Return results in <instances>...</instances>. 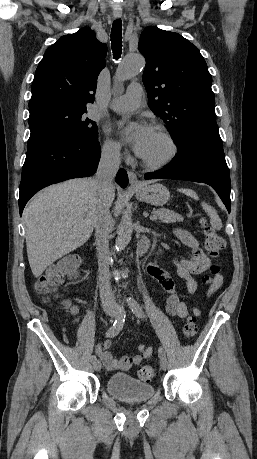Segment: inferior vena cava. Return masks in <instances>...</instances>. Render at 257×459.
<instances>
[{"mask_svg": "<svg viewBox=\"0 0 257 459\" xmlns=\"http://www.w3.org/2000/svg\"><path fill=\"white\" fill-rule=\"evenodd\" d=\"M118 148L102 150L94 182L97 187L96 200V244L99 272V289L101 302L104 307H114L115 301L109 278V234L113 228L110 215L111 193L114 191L113 181L120 165Z\"/></svg>", "mask_w": 257, "mask_h": 459, "instance_id": "1", "label": "inferior vena cava"}]
</instances>
